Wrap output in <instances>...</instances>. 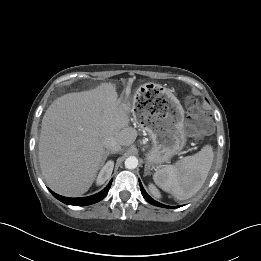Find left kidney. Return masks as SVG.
Listing matches in <instances>:
<instances>
[{
    "label": "left kidney",
    "mask_w": 261,
    "mask_h": 261,
    "mask_svg": "<svg viewBox=\"0 0 261 261\" xmlns=\"http://www.w3.org/2000/svg\"><path fill=\"white\" fill-rule=\"evenodd\" d=\"M148 189L153 196L160 198V196H161L160 192L158 191V189L153 184H149Z\"/></svg>",
    "instance_id": "5707ae66"
}]
</instances>
